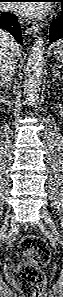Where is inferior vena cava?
I'll return each mask as SVG.
<instances>
[{
  "mask_svg": "<svg viewBox=\"0 0 63 297\" xmlns=\"http://www.w3.org/2000/svg\"><path fill=\"white\" fill-rule=\"evenodd\" d=\"M16 42L13 39L8 49L4 50L0 54V86L6 90L10 88L11 81L14 76L16 66Z\"/></svg>",
  "mask_w": 63,
  "mask_h": 297,
  "instance_id": "obj_1",
  "label": "inferior vena cava"
}]
</instances>
